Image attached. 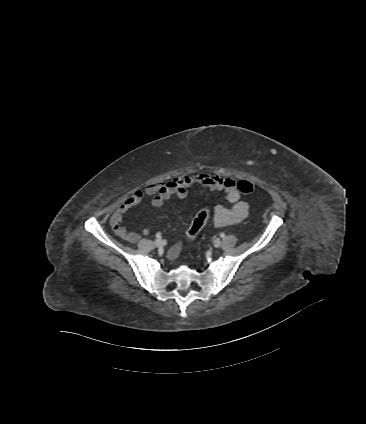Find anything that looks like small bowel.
Returning a JSON list of instances; mask_svg holds the SVG:
<instances>
[{"label": "small bowel", "instance_id": "small-bowel-1", "mask_svg": "<svg viewBox=\"0 0 366 424\" xmlns=\"http://www.w3.org/2000/svg\"><path fill=\"white\" fill-rule=\"evenodd\" d=\"M238 182L230 177H222L215 174L201 173L193 175H182L171 181L154 183L148 185L144 190H136L127 195L114 211L110 218V225L116 235L129 243L140 240V234L129 231L123 225L124 214L132 207L142 202L144 196L151 198V205L160 208L172 196L184 199L189 190L194 186L206 187L212 191L223 192L231 207L216 205L213 210V225L215 227H226L237 224L244 220L249 213V204L241 200V193L237 188ZM144 235L150 234V229H143ZM181 251V244H175L169 251V258L175 259Z\"/></svg>", "mask_w": 366, "mask_h": 424}]
</instances>
